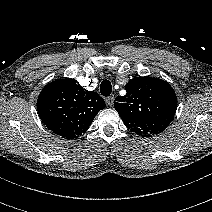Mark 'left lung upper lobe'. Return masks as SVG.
Returning <instances> with one entry per match:
<instances>
[{"mask_svg": "<svg viewBox=\"0 0 212 212\" xmlns=\"http://www.w3.org/2000/svg\"><path fill=\"white\" fill-rule=\"evenodd\" d=\"M125 88L126 95L116 97L114 107L127 128L145 137L163 132L177 108L170 84L157 78L135 77Z\"/></svg>", "mask_w": 212, "mask_h": 212, "instance_id": "5c2ea615", "label": "left lung upper lobe"}]
</instances>
